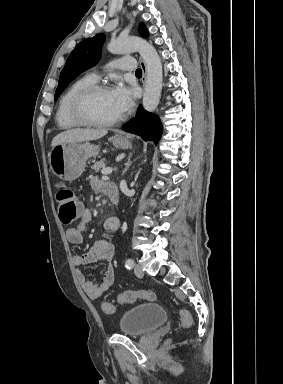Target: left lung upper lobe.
I'll return each instance as SVG.
<instances>
[{"label":"left lung upper lobe","instance_id":"obj_1","mask_svg":"<svg viewBox=\"0 0 283 384\" xmlns=\"http://www.w3.org/2000/svg\"><path fill=\"white\" fill-rule=\"evenodd\" d=\"M142 37H148V31L143 23L139 26ZM105 41L103 33L82 41L69 55L66 64L61 71L58 87L55 92V100L64 91L67 85L81 72L95 65L101 56V46Z\"/></svg>","mask_w":283,"mask_h":384}]
</instances>
